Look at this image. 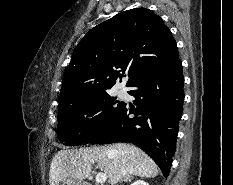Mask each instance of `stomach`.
<instances>
[{"label": "stomach", "mask_w": 233, "mask_h": 185, "mask_svg": "<svg viewBox=\"0 0 233 185\" xmlns=\"http://www.w3.org/2000/svg\"><path fill=\"white\" fill-rule=\"evenodd\" d=\"M61 185H85L82 181L73 179V178H67L62 182Z\"/></svg>", "instance_id": "stomach-1"}]
</instances>
